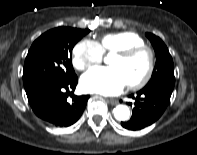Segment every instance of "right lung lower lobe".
I'll return each mask as SVG.
<instances>
[{
	"label": "right lung lower lobe",
	"mask_w": 197,
	"mask_h": 155,
	"mask_svg": "<svg viewBox=\"0 0 197 155\" xmlns=\"http://www.w3.org/2000/svg\"><path fill=\"white\" fill-rule=\"evenodd\" d=\"M77 76L66 81L49 86L35 96L29 98L34 113L41 119L56 127H67L75 123L83 113L89 95L73 96V102L68 103V95L75 90Z\"/></svg>",
	"instance_id": "right-lung-lower-lobe-1"
}]
</instances>
